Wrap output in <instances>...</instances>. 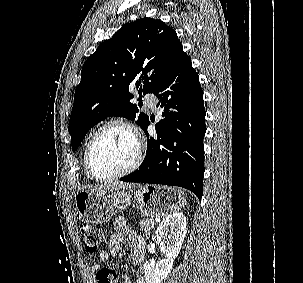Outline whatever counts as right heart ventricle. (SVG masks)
<instances>
[{"instance_id": "1", "label": "right heart ventricle", "mask_w": 303, "mask_h": 283, "mask_svg": "<svg viewBox=\"0 0 303 283\" xmlns=\"http://www.w3.org/2000/svg\"><path fill=\"white\" fill-rule=\"evenodd\" d=\"M86 146H87V145H86ZM86 146H85V149H86ZM84 153H85V150H84ZM83 169H84V173H85L86 177H87L88 179H92V178L89 176V174H88V172H87V170H86L85 163H84V157H83Z\"/></svg>"}]
</instances>
